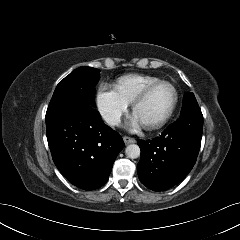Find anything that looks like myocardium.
<instances>
[{"instance_id":"obj_1","label":"myocardium","mask_w":240,"mask_h":240,"mask_svg":"<svg viewBox=\"0 0 240 240\" xmlns=\"http://www.w3.org/2000/svg\"><path fill=\"white\" fill-rule=\"evenodd\" d=\"M161 86H169L174 92V98L169 110L157 121L153 123H143L148 129H158L162 127L173 115L179 100V93L176 86L168 81L156 82L145 88L132 102L133 113L136 114L137 108L149 97V95Z\"/></svg>"}]
</instances>
